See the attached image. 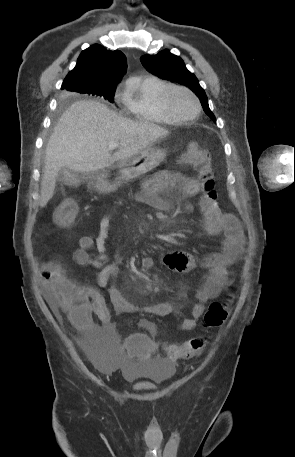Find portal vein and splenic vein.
Wrapping results in <instances>:
<instances>
[{"instance_id": "1", "label": "portal vein and splenic vein", "mask_w": 295, "mask_h": 457, "mask_svg": "<svg viewBox=\"0 0 295 457\" xmlns=\"http://www.w3.org/2000/svg\"><path fill=\"white\" fill-rule=\"evenodd\" d=\"M118 145H119V144H118L117 142H111V143H109L108 148H109V150H110V149H115Z\"/></svg>"}]
</instances>
